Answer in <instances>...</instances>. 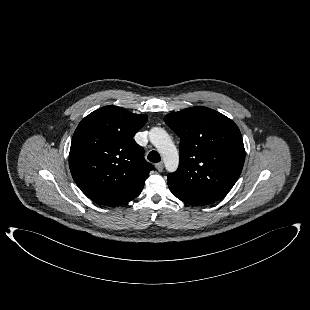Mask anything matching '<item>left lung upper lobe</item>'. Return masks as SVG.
<instances>
[{"label":"left lung upper lobe","mask_w":310,"mask_h":310,"mask_svg":"<svg viewBox=\"0 0 310 310\" xmlns=\"http://www.w3.org/2000/svg\"><path fill=\"white\" fill-rule=\"evenodd\" d=\"M164 121L181 139L179 167L168 175V185L198 197L223 198L238 180L245 161L237 125L203 106L169 113Z\"/></svg>","instance_id":"left-lung-upper-lobe-1"}]
</instances>
